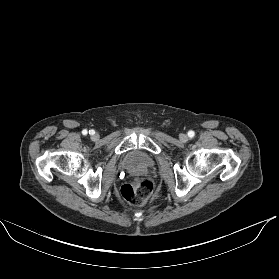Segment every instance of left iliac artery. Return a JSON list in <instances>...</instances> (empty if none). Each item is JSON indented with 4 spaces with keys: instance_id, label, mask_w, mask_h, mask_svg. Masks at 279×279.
<instances>
[{
    "instance_id": "44dca946",
    "label": "left iliac artery",
    "mask_w": 279,
    "mask_h": 279,
    "mask_svg": "<svg viewBox=\"0 0 279 279\" xmlns=\"http://www.w3.org/2000/svg\"><path fill=\"white\" fill-rule=\"evenodd\" d=\"M194 135H195L194 131L190 130V131L188 132V136H189L190 138H193Z\"/></svg>"
}]
</instances>
